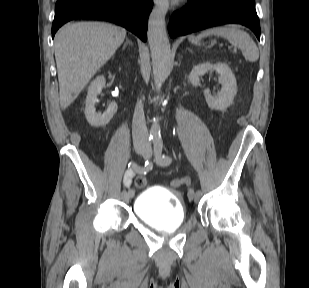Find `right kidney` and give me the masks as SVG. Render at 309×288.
Listing matches in <instances>:
<instances>
[{
  "label": "right kidney",
  "instance_id": "right-kidney-1",
  "mask_svg": "<svg viewBox=\"0 0 309 288\" xmlns=\"http://www.w3.org/2000/svg\"><path fill=\"white\" fill-rule=\"evenodd\" d=\"M105 84L104 76H98L88 87V94L85 101V116L89 124L95 127L108 124L118 109L117 104L112 102L102 115L96 113L95 103L97 102V96L105 87Z\"/></svg>",
  "mask_w": 309,
  "mask_h": 288
}]
</instances>
